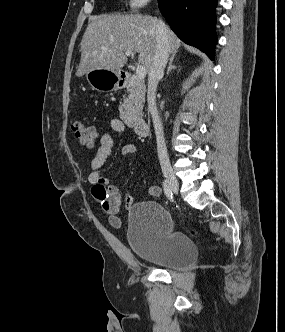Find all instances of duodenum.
<instances>
[{"mask_svg": "<svg viewBox=\"0 0 285 332\" xmlns=\"http://www.w3.org/2000/svg\"><path fill=\"white\" fill-rule=\"evenodd\" d=\"M131 77L127 73H123L119 80L120 87H125L130 83ZM134 131L137 135L141 137H146L149 134L150 128L149 125L145 122L136 123L134 125Z\"/></svg>", "mask_w": 285, "mask_h": 332, "instance_id": "1", "label": "duodenum"}]
</instances>
